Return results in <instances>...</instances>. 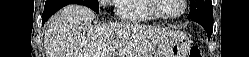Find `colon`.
Here are the masks:
<instances>
[{
	"label": "colon",
	"instance_id": "5ec220e1",
	"mask_svg": "<svg viewBox=\"0 0 249 57\" xmlns=\"http://www.w3.org/2000/svg\"><path fill=\"white\" fill-rule=\"evenodd\" d=\"M188 57H203L202 51L198 47H192Z\"/></svg>",
	"mask_w": 249,
	"mask_h": 57
}]
</instances>
